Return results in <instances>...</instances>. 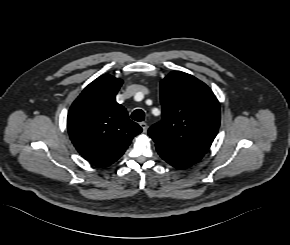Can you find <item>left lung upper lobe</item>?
I'll use <instances>...</instances> for the list:
<instances>
[{
	"label": "left lung upper lobe",
	"mask_w": 290,
	"mask_h": 245,
	"mask_svg": "<svg viewBox=\"0 0 290 245\" xmlns=\"http://www.w3.org/2000/svg\"><path fill=\"white\" fill-rule=\"evenodd\" d=\"M162 120L148 133L156 147L196 163L211 146L220 125V106L212 90L194 76L172 71L160 84Z\"/></svg>",
	"instance_id": "left-lung-upper-lobe-1"
}]
</instances>
